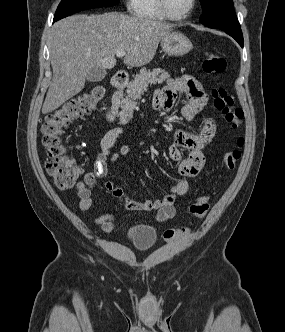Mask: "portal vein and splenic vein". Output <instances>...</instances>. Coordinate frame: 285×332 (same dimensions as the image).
<instances>
[{
  "instance_id": "18ae733b",
  "label": "portal vein and splenic vein",
  "mask_w": 285,
  "mask_h": 332,
  "mask_svg": "<svg viewBox=\"0 0 285 332\" xmlns=\"http://www.w3.org/2000/svg\"><path fill=\"white\" fill-rule=\"evenodd\" d=\"M125 54H126V52L123 51V50H118V51H116V56H117V57H123V56H125Z\"/></svg>"
}]
</instances>
